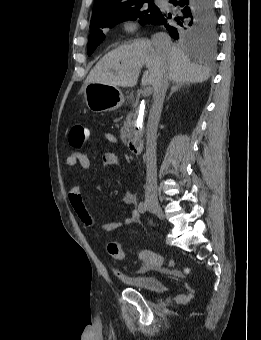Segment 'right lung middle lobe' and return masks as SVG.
<instances>
[{
    "label": "right lung middle lobe",
    "instance_id": "dd1d6c3e",
    "mask_svg": "<svg viewBox=\"0 0 261 340\" xmlns=\"http://www.w3.org/2000/svg\"><path fill=\"white\" fill-rule=\"evenodd\" d=\"M160 9L154 4V0H143L121 8L117 13L104 17L97 21H91V33L88 37L87 54L90 56L96 47L105 39L102 28H112L116 24L126 20L140 19L142 25L151 24L158 15ZM176 39L180 40H213L216 37V17L214 13H198L194 9L186 17L173 23Z\"/></svg>",
    "mask_w": 261,
    "mask_h": 340
}]
</instances>
